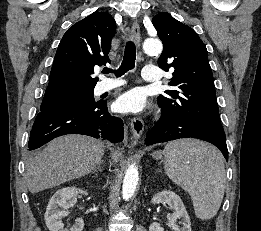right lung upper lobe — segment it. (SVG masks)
I'll return each mask as SVG.
<instances>
[{
	"instance_id": "right-lung-upper-lobe-1",
	"label": "right lung upper lobe",
	"mask_w": 261,
	"mask_h": 231,
	"mask_svg": "<svg viewBox=\"0 0 261 231\" xmlns=\"http://www.w3.org/2000/svg\"><path fill=\"white\" fill-rule=\"evenodd\" d=\"M116 25L107 12L77 22L62 37L55 54L46 91L94 88V66L110 62L108 53Z\"/></svg>"
}]
</instances>
